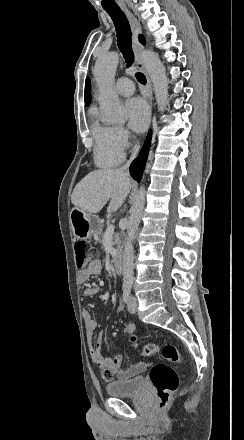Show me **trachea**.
Wrapping results in <instances>:
<instances>
[{"mask_svg":"<svg viewBox=\"0 0 244 440\" xmlns=\"http://www.w3.org/2000/svg\"><path fill=\"white\" fill-rule=\"evenodd\" d=\"M105 11L112 18V21L116 28L118 47L122 52L128 66H131L134 61V54L131 45L132 33L128 19L126 18L125 13L120 8L105 9ZM136 78L138 82L142 83L143 85L146 84V77L145 75H143V73H136Z\"/></svg>","mask_w":244,"mask_h":440,"instance_id":"3493384b","label":"trachea"}]
</instances>
